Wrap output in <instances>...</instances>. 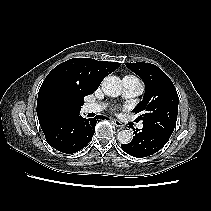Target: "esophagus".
<instances>
[{"label": "esophagus", "instance_id": "34e87169", "mask_svg": "<svg viewBox=\"0 0 211 211\" xmlns=\"http://www.w3.org/2000/svg\"><path fill=\"white\" fill-rule=\"evenodd\" d=\"M112 123H113L116 127H118V128H123V127H124V125H123L119 120H117V119H113V120H112Z\"/></svg>", "mask_w": 211, "mask_h": 211}]
</instances>
